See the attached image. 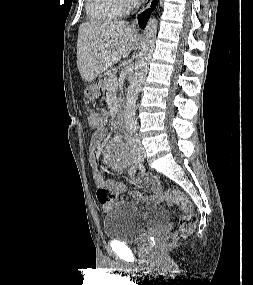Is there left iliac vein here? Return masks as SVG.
<instances>
[{"label":"left iliac vein","mask_w":253,"mask_h":285,"mask_svg":"<svg viewBox=\"0 0 253 285\" xmlns=\"http://www.w3.org/2000/svg\"><path fill=\"white\" fill-rule=\"evenodd\" d=\"M141 150H142V152L144 153V149H143V148H141Z\"/></svg>","instance_id":"left-iliac-vein-1"}]
</instances>
